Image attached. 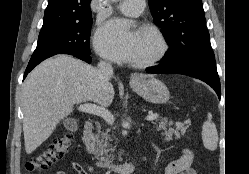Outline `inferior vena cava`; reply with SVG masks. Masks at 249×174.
<instances>
[{"label": "inferior vena cava", "mask_w": 249, "mask_h": 174, "mask_svg": "<svg viewBox=\"0 0 249 174\" xmlns=\"http://www.w3.org/2000/svg\"><path fill=\"white\" fill-rule=\"evenodd\" d=\"M113 74V67L110 63L100 61L97 67V75L104 84L108 83Z\"/></svg>", "instance_id": "1"}]
</instances>
